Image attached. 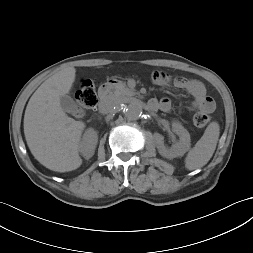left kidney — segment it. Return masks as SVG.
Masks as SVG:
<instances>
[{
    "mask_svg": "<svg viewBox=\"0 0 253 253\" xmlns=\"http://www.w3.org/2000/svg\"><path fill=\"white\" fill-rule=\"evenodd\" d=\"M172 131L179 136V141L176 142L170 149L165 147L163 136L161 134H154L159 154L167 159L183 156L189 150L191 145L189 132L179 122L172 123Z\"/></svg>",
    "mask_w": 253,
    "mask_h": 253,
    "instance_id": "obj_1",
    "label": "left kidney"
}]
</instances>
